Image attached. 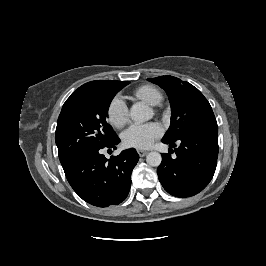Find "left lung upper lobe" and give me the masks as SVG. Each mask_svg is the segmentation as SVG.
Here are the masks:
<instances>
[{
	"label": "left lung upper lobe",
	"instance_id": "left-lung-upper-lobe-1",
	"mask_svg": "<svg viewBox=\"0 0 266 266\" xmlns=\"http://www.w3.org/2000/svg\"><path fill=\"white\" fill-rule=\"evenodd\" d=\"M148 81L163 88L171 104V124L162 140L175 142L199 127L217 125L209 102L190 83L173 76H160Z\"/></svg>",
	"mask_w": 266,
	"mask_h": 266
}]
</instances>
